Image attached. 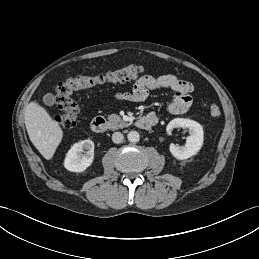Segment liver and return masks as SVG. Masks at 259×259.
I'll list each match as a JSON object with an SVG mask.
<instances>
[{"label": "liver", "mask_w": 259, "mask_h": 259, "mask_svg": "<svg viewBox=\"0 0 259 259\" xmlns=\"http://www.w3.org/2000/svg\"><path fill=\"white\" fill-rule=\"evenodd\" d=\"M24 119L31 142L45 159L50 160L63 137L58 122L36 101L27 105Z\"/></svg>", "instance_id": "obj_1"}]
</instances>
